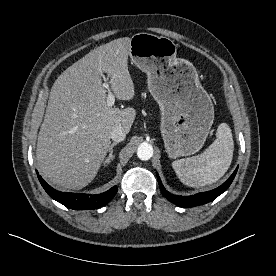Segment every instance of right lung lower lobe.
Segmentation results:
<instances>
[{
    "instance_id": "obj_1",
    "label": "right lung lower lobe",
    "mask_w": 276,
    "mask_h": 276,
    "mask_svg": "<svg viewBox=\"0 0 276 276\" xmlns=\"http://www.w3.org/2000/svg\"><path fill=\"white\" fill-rule=\"evenodd\" d=\"M38 179L50 197L64 206L74 210L100 208L107 204L117 193V186H114L108 191L97 195L59 192L49 186L40 175H38Z\"/></svg>"
}]
</instances>
